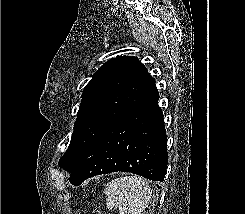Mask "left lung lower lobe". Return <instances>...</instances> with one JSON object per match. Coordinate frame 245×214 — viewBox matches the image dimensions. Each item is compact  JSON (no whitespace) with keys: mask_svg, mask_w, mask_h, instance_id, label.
<instances>
[{"mask_svg":"<svg viewBox=\"0 0 245 214\" xmlns=\"http://www.w3.org/2000/svg\"><path fill=\"white\" fill-rule=\"evenodd\" d=\"M156 90L110 124L82 153L70 171L69 181L111 172H131L164 181L168 153L167 135Z\"/></svg>","mask_w":245,"mask_h":214,"instance_id":"left-lung-lower-lobe-1","label":"left lung lower lobe"}]
</instances>
